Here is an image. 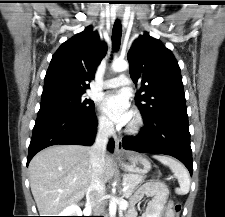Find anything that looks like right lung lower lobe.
Wrapping results in <instances>:
<instances>
[{
	"label": "right lung lower lobe",
	"instance_id": "1",
	"mask_svg": "<svg viewBox=\"0 0 225 217\" xmlns=\"http://www.w3.org/2000/svg\"><path fill=\"white\" fill-rule=\"evenodd\" d=\"M95 111L76 114L58 109H40L29 145L27 165L40 150L57 144L91 145L95 140ZM108 149L114 150V141Z\"/></svg>",
	"mask_w": 225,
	"mask_h": 217
}]
</instances>
